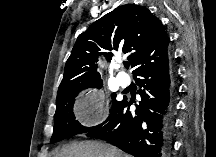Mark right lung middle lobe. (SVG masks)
I'll use <instances>...</instances> for the list:
<instances>
[{"instance_id": "dd1d6c3e", "label": "right lung middle lobe", "mask_w": 216, "mask_h": 157, "mask_svg": "<svg viewBox=\"0 0 216 157\" xmlns=\"http://www.w3.org/2000/svg\"><path fill=\"white\" fill-rule=\"evenodd\" d=\"M79 92L80 91L66 92L56 99V112L54 115V129L53 135L51 137V143L61 141L76 134L92 132L93 130L107 123L115 115L121 103V101L115 100V93H113V107L112 109H110L108 118L97 126L85 127L82 126L77 120H75L73 113L75 97Z\"/></svg>"}]
</instances>
